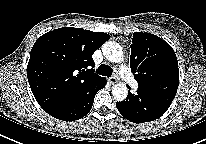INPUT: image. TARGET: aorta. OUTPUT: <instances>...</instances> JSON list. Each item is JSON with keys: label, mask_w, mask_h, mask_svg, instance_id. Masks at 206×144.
Returning a JSON list of instances; mask_svg holds the SVG:
<instances>
[{"label": "aorta", "mask_w": 206, "mask_h": 144, "mask_svg": "<svg viewBox=\"0 0 206 144\" xmlns=\"http://www.w3.org/2000/svg\"><path fill=\"white\" fill-rule=\"evenodd\" d=\"M104 57L111 62H121L123 60V50L114 41H107L102 46ZM112 95L116 101H123L128 96V89L125 84L117 83L112 87Z\"/></svg>", "instance_id": "obj_1"}]
</instances>
